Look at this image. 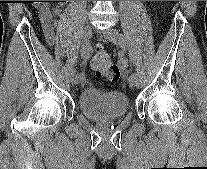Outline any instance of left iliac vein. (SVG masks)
<instances>
[{"label":"left iliac vein","instance_id":"4c4485c4","mask_svg":"<svg viewBox=\"0 0 207 169\" xmlns=\"http://www.w3.org/2000/svg\"><path fill=\"white\" fill-rule=\"evenodd\" d=\"M101 34L104 38L111 41L121 49L125 48L126 45L124 37L116 28L110 27L107 30L103 31ZM128 83L131 87H139V79L137 76L135 78H129Z\"/></svg>","mask_w":207,"mask_h":169}]
</instances>
